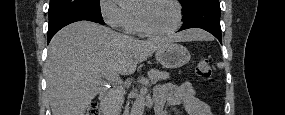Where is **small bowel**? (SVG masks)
Listing matches in <instances>:
<instances>
[{"instance_id": "1", "label": "small bowel", "mask_w": 285, "mask_h": 115, "mask_svg": "<svg viewBox=\"0 0 285 115\" xmlns=\"http://www.w3.org/2000/svg\"><path fill=\"white\" fill-rule=\"evenodd\" d=\"M154 100L157 115H169L170 108L180 105H183L187 115H212L210 107L196 96L190 82L161 85L156 89Z\"/></svg>"}]
</instances>
